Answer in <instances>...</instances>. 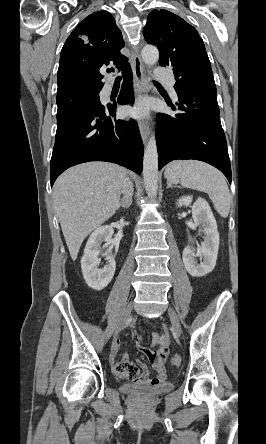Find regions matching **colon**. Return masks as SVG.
Instances as JSON below:
<instances>
[{
    "instance_id": "colon-1",
    "label": "colon",
    "mask_w": 266,
    "mask_h": 444,
    "mask_svg": "<svg viewBox=\"0 0 266 444\" xmlns=\"http://www.w3.org/2000/svg\"><path fill=\"white\" fill-rule=\"evenodd\" d=\"M171 364H172L174 367H178V366L180 365V357H179L178 355H173V356L171 357Z\"/></svg>"
}]
</instances>
